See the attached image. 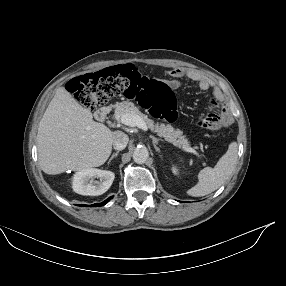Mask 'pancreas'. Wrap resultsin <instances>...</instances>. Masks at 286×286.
Masks as SVG:
<instances>
[{
    "instance_id": "1",
    "label": "pancreas",
    "mask_w": 286,
    "mask_h": 286,
    "mask_svg": "<svg viewBox=\"0 0 286 286\" xmlns=\"http://www.w3.org/2000/svg\"><path fill=\"white\" fill-rule=\"evenodd\" d=\"M115 112L114 116L118 119L121 118L123 114H132L140 117L153 132L157 133L160 137L172 143L174 146H177L181 149L189 147V142L183 136V132L179 129H174L171 125H165L163 123H154L152 119H149L147 115L141 113L139 109L129 101H123L114 106Z\"/></svg>"
}]
</instances>
